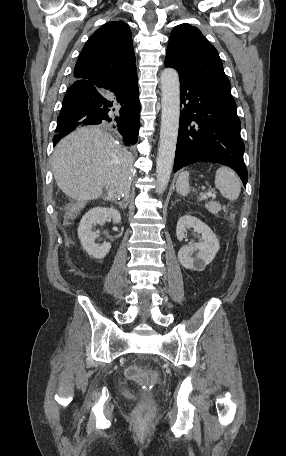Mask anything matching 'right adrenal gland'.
<instances>
[{"label": "right adrenal gland", "instance_id": "1", "mask_svg": "<svg viewBox=\"0 0 286 456\" xmlns=\"http://www.w3.org/2000/svg\"><path fill=\"white\" fill-rule=\"evenodd\" d=\"M118 205H119L120 209H122L124 211L128 206V201L125 200V201L118 202Z\"/></svg>", "mask_w": 286, "mask_h": 456}]
</instances>
